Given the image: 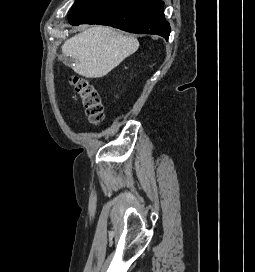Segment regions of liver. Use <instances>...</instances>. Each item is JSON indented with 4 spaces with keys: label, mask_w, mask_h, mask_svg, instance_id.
Segmentation results:
<instances>
[{
    "label": "liver",
    "mask_w": 255,
    "mask_h": 272,
    "mask_svg": "<svg viewBox=\"0 0 255 272\" xmlns=\"http://www.w3.org/2000/svg\"><path fill=\"white\" fill-rule=\"evenodd\" d=\"M139 47L138 40L107 26H92L66 40L62 54L75 63L73 70L86 78H101Z\"/></svg>",
    "instance_id": "1"
}]
</instances>
